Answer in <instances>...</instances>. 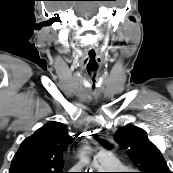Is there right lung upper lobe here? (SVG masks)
Masks as SVG:
<instances>
[{"instance_id": "1", "label": "right lung upper lobe", "mask_w": 173, "mask_h": 173, "mask_svg": "<svg viewBox=\"0 0 173 173\" xmlns=\"http://www.w3.org/2000/svg\"><path fill=\"white\" fill-rule=\"evenodd\" d=\"M72 139L64 124L47 123L22 142L13 157L9 173H63V153Z\"/></svg>"}]
</instances>
